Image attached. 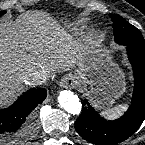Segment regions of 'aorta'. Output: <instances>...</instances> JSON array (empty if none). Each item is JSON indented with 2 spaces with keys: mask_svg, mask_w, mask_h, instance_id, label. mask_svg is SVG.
Returning <instances> with one entry per match:
<instances>
[{
  "mask_svg": "<svg viewBox=\"0 0 145 145\" xmlns=\"http://www.w3.org/2000/svg\"><path fill=\"white\" fill-rule=\"evenodd\" d=\"M58 101L61 107L72 115H79L82 110V104L76 94L71 91H61L58 96Z\"/></svg>",
  "mask_w": 145,
  "mask_h": 145,
  "instance_id": "1",
  "label": "aorta"
}]
</instances>
